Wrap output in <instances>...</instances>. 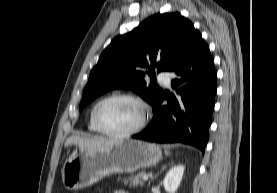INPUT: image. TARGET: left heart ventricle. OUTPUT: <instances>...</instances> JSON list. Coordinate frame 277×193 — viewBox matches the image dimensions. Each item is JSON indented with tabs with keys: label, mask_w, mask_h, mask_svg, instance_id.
Returning a JSON list of instances; mask_svg holds the SVG:
<instances>
[{
	"label": "left heart ventricle",
	"mask_w": 277,
	"mask_h": 193,
	"mask_svg": "<svg viewBox=\"0 0 277 193\" xmlns=\"http://www.w3.org/2000/svg\"><path fill=\"white\" fill-rule=\"evenodd\" d=\"M141 115V107L136 102L127 99L107 101L99 107L97 112L100 124L113 132H122L135 127Z\"/></svg>",
	"instance_id": "1"
}]
</instances>
